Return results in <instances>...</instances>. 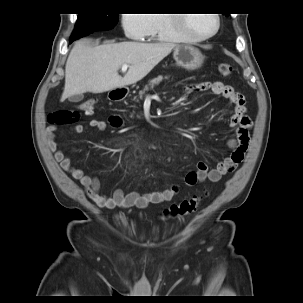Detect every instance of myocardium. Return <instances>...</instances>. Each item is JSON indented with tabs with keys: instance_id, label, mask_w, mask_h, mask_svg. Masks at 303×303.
Wrapping results in <instances>:
<instances>
[{
	"instance_id": "myocardium-1",
	"label": "myocardium",
	"mask_w": 303,
	"mask_h": 303,
	"mask_svg": "<svg viewBox=\"0 0 303 303\" xmlns=\"http://www.w3.org/2000/svg\"><path fill=\"white\" fill-rule=\"evenodd\" d=\"M174 17V20L176 21V23L178 24V26L180 27V29L182 30V32L184 33V35L186 36V38L188 40H198V41H204V40H208L210 38H212L214 35H216V33L218 32L220 25H221V18L219 14H211L214 19H215V27L212 31H210L207 34H203V35H198V34H193L187 24H188V14H172Z\"/></svg>"
}]
</instances>
